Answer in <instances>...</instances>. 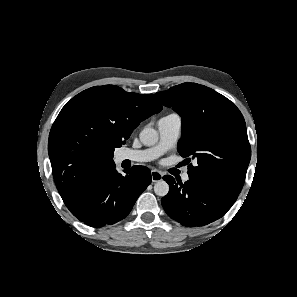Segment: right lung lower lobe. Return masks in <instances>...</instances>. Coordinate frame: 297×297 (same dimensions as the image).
Wrapping results in <instances>:
<instances>
[{
	"label": "right lung lower lobe",
	"mask_w": 297,
	"mask_h": 297,
	"mask_svg": "<svg viewBox=\"0 0 297 297\" xmlns=\"http://www.w3.org/2000/svg\"><path fill=\"white\" fill-rule=\"evenodd\" d=\"M125 176L113 169L93 181L67 208L91 227L114 224L125 218L139 195L151 183V172L145 166L124 170Z\"/></svg>",
	"instance_id": "obj_1"
}]
</instances>
